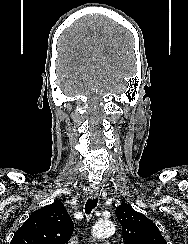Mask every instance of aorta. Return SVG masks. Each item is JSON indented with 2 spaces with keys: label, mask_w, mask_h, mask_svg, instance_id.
Wrapping results in <instances>:
<instances>
[{
  "label": "aorta",
  "mask_w": 188,
  "mask_h": 244,
  "mask_svg": "<svg viewBox=\"0 0 188 244\" xmlns=\"http://www.w3.org/2000/svg\"><path fill=\"white\" fill-rule=\"evenodd\" d=\"M115 232V225L110 220L97 222L92 229V233L97 238H107Z\"/></svg>",
  "instance_id": "762f6f07"
}]
</instances>
